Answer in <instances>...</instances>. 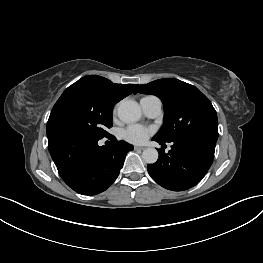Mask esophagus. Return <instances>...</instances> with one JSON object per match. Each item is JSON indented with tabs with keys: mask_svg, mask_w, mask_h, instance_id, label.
I'll return each instance as SVG.
<instances>
[{
	"mask_svg": "<svg viewBox=\"0 0 263 263\" xmlns=\"http://www.w3.org/2000/svg\"><path fill=\"white\" fill-rule=\"evenodd\" d=\"M134 149H135V150H144L145 147L135 146Z\"/></svg>",
	"mask_w": 263,
	"mask_h": 263,
	"instance_id": "1",
	"label": "esophagus"
}]
</instances>
